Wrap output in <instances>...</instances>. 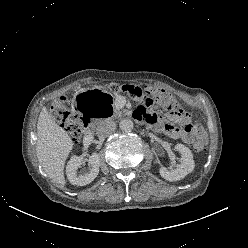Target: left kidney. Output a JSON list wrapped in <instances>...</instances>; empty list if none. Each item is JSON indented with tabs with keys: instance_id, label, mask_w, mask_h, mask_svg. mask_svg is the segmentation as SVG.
Masks as SVG:
<instances>
[{
	"instance_id": "1",
	"label": "left kidney",
	"mask_w": 248,
	"mask_h": 248,
	"mask_svg": "<svg viewBox=\"0 0 248 248\" xmlns=\"http://www.w3.org/2000/svg\"><path fill=\"white\" fill-rule=\"evenodd\" d=\"M175 150L181 154V163L176 169L168 170L165 167L159 169L160 175L168 181H178L191 173L195 168L191 150L183 144H176Z\"/></svg>"
}]
</instances>
